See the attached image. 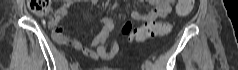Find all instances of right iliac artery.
<instances>
[{
    "label": "right iliac artery",
    "instance_id": "obj_1",
    "mask_svg": "<svg viewBox=\"0 0 238 70\" xmlns=\"http://www.w3.org/2000/svg\"><path fill=\"white\" fill-rule=\"evenodd\" d=\"M77 68H78V64L77 63L71 64V69L72 70H76Z\"/></svg>",
    "mask_w": 238,
    "mask_h": 70
}]
</instances>
